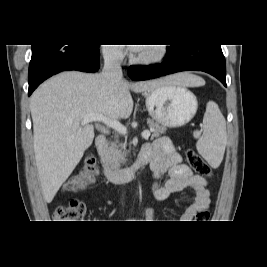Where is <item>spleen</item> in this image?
I'll return each mask as SVG.
<instances>
[{
	"instance_id": "1",
	"label": "spleen",
	"mask_w": 267,
	"mask_h": 267,
	"mask_svg": "<svg viewBox=\"0 0 267 267\" xmlns=\"http://www.w3.org/2000/svg\"><path fill=\"white\" fill-rule=\"evenodd\" d=\"M225 146V118L217 106H211L203 118V135L197 142V150L213 168H217L223 160Z\"/></svg>"
}]
</instances>
